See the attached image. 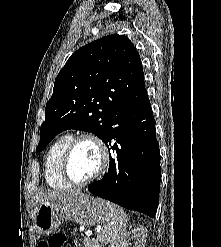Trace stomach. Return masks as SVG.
I'll return each mask as SVG.
<instances>
[{
  "instance_id": "obj_1",
  "label": "stomach",
  "mask_w": 221,
  "mask_h": 247,
  "mask_svg": "<svg viewBox=\"0 0 221 247\" xmlns=\"http://www.w3.org/2000/svg\"><path fill=\"white\" fill-rule=\"evenodd\" d=\"M106 201L79 193L60 203H41L35 216V227L41 235L55 231L62 221L71 220L80 225L94 226L105 218Z\"/></svg>"
}]
</instances>
